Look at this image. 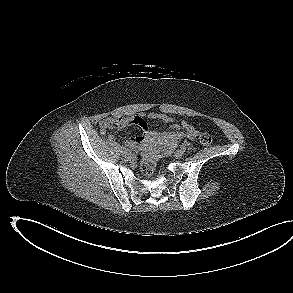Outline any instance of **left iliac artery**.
<instances>
[{"mask_svg": "<svg viewBox=\"0 0 293 293\" xmlns=\"http://www.w3.org/2000/svg\"><path fill=\"white\" fill-rule=\"evenodd\" d=\"M180 149H181L183 152H185V150H186V146H185V145H181V146H180Z\"/></svg>", "mask_w": 293, "mask_h": 293, "instance_id": "obj_1", "label": "left iliac artery"}]
</instances>
